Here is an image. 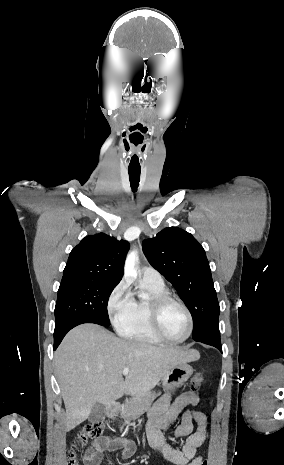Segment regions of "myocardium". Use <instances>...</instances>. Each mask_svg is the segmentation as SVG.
<instances>
[{
	"mask_svg": "<svg viewBox=\"0 0 284 465\" xmlns=\"http://www.w3.org/2000/svg\"><path fill=\"white\" fill-rule=\"evenodd\" d=\"M170 304H176L180 306L187 314L189 320V329L186 336L180 340H171L167 338L162 331V317L165 309ZM150 321L148 322L149 328L152 333L163 343L171 345H179L186 342L193 333L194 330V317L190 309L179 299H176L170 295H161L151 299L150 301Z\"/></svg>",
	"mask_w": 284,
	"mask_h": 465,
	"instance_id": "f54148a6",
	"label": "myocardium"
}]
</instances>
